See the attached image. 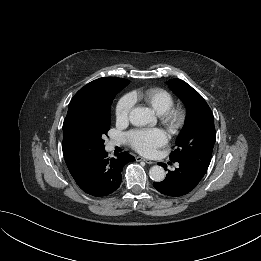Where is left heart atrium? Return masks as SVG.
Wrapping results in <instances>:
<instances>
[{
    "instance_id": "39dd6f15",
    "label": "left heart atrium",
    "mask_w": 261,
    "mask_h": 261,
    "mask_svg": "<svg viewBox=\"0 0 261 261\" xmlns=\"http://www.w3.org/2000/svg\"><path fill=\"white\" fill-rule=\"evenodd\" d=\"M131 146L138 152L151 155L158 147L167 142V136L161 129H136L128 134Z\"/></svg>"
}]
</instances>
